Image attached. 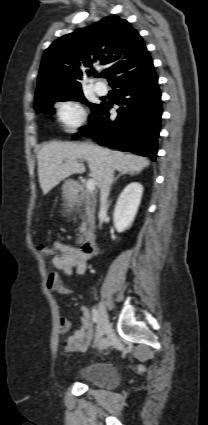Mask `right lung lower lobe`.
Wrapping results in <instances>:
<instances>
[{
    "label": "right lung lower lobe",
    "instance_id": "right-lung-lower-lobe-1",
    "mask_svg": "<svg viewBox=\"0 0 208 425\" xmlns=\"http://www.w3.org/2000/svg\"><path fill=\"white\" fill-rule=\"evenodd\" d=\"M110 85L116 90L118 116L110 119V105L99 104L81 135L91 137L102 146L129 151L155 161L161 122V93L150 55L127 67ZM83 129V128H82Z\"/></svg>",
    "mask_w": 208,
    "mask_h": 425
}]
</instances>
